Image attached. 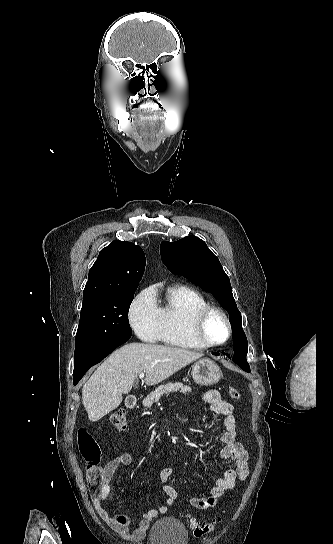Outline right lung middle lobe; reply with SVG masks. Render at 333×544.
I'll use <instances>...</instances> for the list:
<instances>
[{"instance_id":"obj_1","label":"right lung middle lobe","mask_w":333,"mask_h":544,"mask_svg":"<svg viewBox=\"0 0 333 544\" xmlns=\"http://www.w3.org/2000/svg\"><path fill=\"white\" fill-rule=\"evenodd\" d=\"M134 291L91 299L82 304L74 366L121 336H131L128 311Z\"/></svg>"}]
</instances>
